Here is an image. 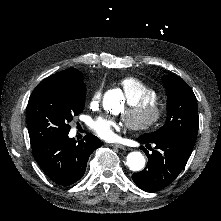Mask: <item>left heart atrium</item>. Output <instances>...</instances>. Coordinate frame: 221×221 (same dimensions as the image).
I'll return each mask as SVG.
<instances>
[{
  "mask_svg": "<svg viewBox=\"0 0 221 221\" xmlns=\"http://www.w3.org/2000/svg\"><path fill=\"white\" fill-rule=\"evenodd\" d=\"M117 122L107 118H97L91 124L92 131L101 139L106 141H117Z\"/></svg>",
  "mask_w": 221,
  "mask_h": 221,
  "instance_id": "39dd6f15",
  "label": "left heart atrium"
}]
</instances>
